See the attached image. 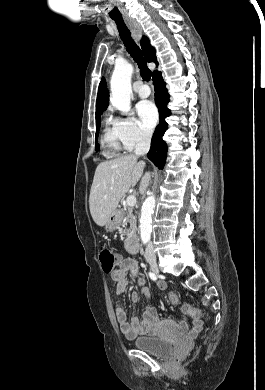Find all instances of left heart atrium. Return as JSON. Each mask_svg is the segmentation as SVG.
Wrapping results in <instances>:
<instances>
[{"label": "left heart atrium", "mask_w": 265, "mask_h": 390, "mask_svg": "<svg viewBox=\"0 0 265 390\" xmlns=\"http://www.w3.org/2000/svg\"><path fill=\"white\" fill-rule=\"evenodd\" d=\"M141 124L147 128L152 129L158 120V113L153 103L149 101H142L136 107Z\"/></svg>", "instance_id": "obj_1"}]
</instances>
